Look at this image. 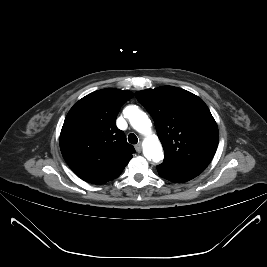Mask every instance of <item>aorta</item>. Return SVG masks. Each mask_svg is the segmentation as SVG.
<instances>
[{
	"label": "aorta",
	"instance_id": "aorta-1",
	"mask_svg": "<svg viewBox=\"0 0 267 267\" xmlns=\"http://www.w3.org/2000/svg\"><path fill=\"white\" fill-rule=\"evenodd\" d=\"M124 116L129 120L133 129L145 136L143 154L147 160L155 163L160 162L163 159L162 146L158 137L151 133L152 123L148 115L138 106L130 105L125 108Z\"/></svg>",
	"mask_w": 267,
	"mask_h": 267
}]
</instances>
